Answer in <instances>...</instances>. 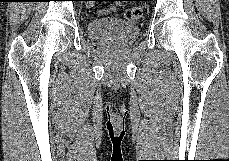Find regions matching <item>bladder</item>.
Segmentation results:
<instances>
[{
  "mask_svg": "<svg viewBox=\"0 0 229 161\" xmlns=\"http://www.w3.org/2000/svg\"><path fill=\"white\" fill-rule=\"evenodd\" d=\"M88 34L97 41L117 40L129 42L139 36L136 24L118 17H102L91 21L87 26Z\"/></svg>",
  "mask_w": 229,
  "mask_h": 161,
  "instance_id": "1",
  "label": "bladder"
}]
</instances>
